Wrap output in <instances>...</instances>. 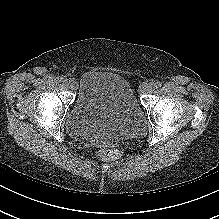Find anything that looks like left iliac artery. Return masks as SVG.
Here are the masks:
<instances>
[{
  "label": "left iliac artery",
  "instance_id": "obj_1",
  "mask_svg": "<svg viewBox=\"0 0 219 219\" xmlns=\"http://www.w3.org/2000/svg\"><path fill=\"white\" fill-rule=\"evenodd\" d=\"M161 85H162V83L160 81H157L154 86L156 88H159V87H161Z\"/></svg>",
  "mask_w": 219,
  "mask_h": 219
}]
</instances>
